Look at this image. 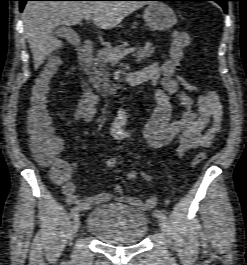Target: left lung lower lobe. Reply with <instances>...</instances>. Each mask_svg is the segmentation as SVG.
I'll return each instance as SVG.
<instances>
[{"label":"left lung lower lobe","mask_w":247,"mask_h":265,"mask_svg":"<svg viewBox=\"0 0 247 265\" xmlns=\"http://www.w3.org/2000/svg\"><path fill=\"white\" fill-rule=\"evenodd\" d=\"M158 1H215L224 9V12L227 13V1L230 0H158Z\"/></svg>","instance_id":"1"}]
</instances>
